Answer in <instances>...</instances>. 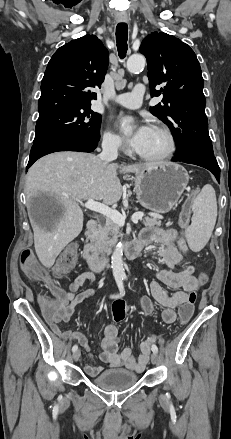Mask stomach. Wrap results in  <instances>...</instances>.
<instances>
[{
	"label": "stomach",
	"instance_id": "1",
	"mask_svg": "<svg viewBox=\"0 0 231 439\" xmlns=\"http://www.w3.org/2000/svg\"><path fill=\"white\" fill-rule=\"evenodd\" d=\"M138 202L156 213H167L177 203L188 184L187 171L176 163L163 162L135 176Z\"/></svg>",
	"mask_w": 231,
	"mask_h": 439
}]
</instances>
